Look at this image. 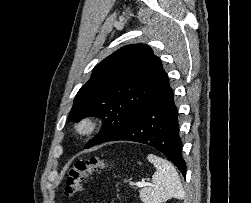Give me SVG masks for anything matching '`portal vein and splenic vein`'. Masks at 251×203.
<instances>
[{
	"instance_id": "18ae733b",
	"label": "portal vein and splenic vein",
	"mask_w": 251,
	"mask_h": 203,
	"mask_svg": "<svg viewBox=\"0 0 251 203\" xmlns=\"http://www.w3.org/2000/svg\"><path fill=\"white\" fill-rule=\"evenodd\" d=\"M135 185L139 188L152 186V184L149 182H136Z\"/></svg>"
}]
</instances>
